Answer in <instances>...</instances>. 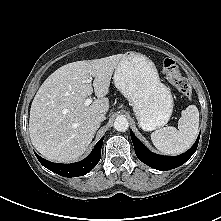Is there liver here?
<instances>
[{
  "instance_id": "obj_1",
  "label": "liver",
  "mask_w": 221,
  "mask_h": 221,
  "mask_svg": "<svg viewBox=\"0 0 221 221\" xmlns=\"http://www.w3.org/2000/svg\"><path fill=\"white\" fill-rule=\"evenodd\" d=\"M122 54L68 63L54 71L36 93L29 119L30 139L45 158L70 162L79 158L91 143L100 123L98 114L108 112L114 69ZM94 77L93 84L88 79ZM93 91L97 99L84 101Z\"/></svg>"
}]
</instances>
